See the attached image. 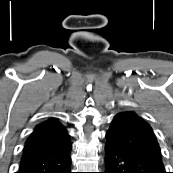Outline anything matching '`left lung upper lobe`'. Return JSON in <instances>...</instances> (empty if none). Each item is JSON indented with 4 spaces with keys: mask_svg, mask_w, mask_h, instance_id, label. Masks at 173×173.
I'll use <instances>...</instances> for the list:
<instances>
[{
    "mask_svg": "<svg viewBox=\"0 0 173 173\" xmlns=\"http://www.w3.org/2000/svg\"><path fill=\"white\" fill-rule=\"evenodd\" d=\"M106 139L111 146L162 161L152 128L132 111L121 112L113 118Z\"/></svg>",
    "mask_w": 173,
    "mask_h": 173,
    "instance_id": "5c2ea615",
    "label": "left lung upper lobe"
}]
</instances>
